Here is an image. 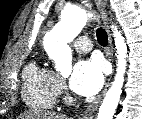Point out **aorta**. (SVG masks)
Masks as SVG:
<instances>
[{"label":"aorta","mask_w":142,"mask_h":119,"mask_svg":"<svg viewBox=\"0 0 142 119\" xmlns=\"http://www.w3.org/2000/svg\"><path fill=\"white\" fill-rule=\"evenodd\" d=\"M89 20V14L81 8H65L61 13V20L44 36L43 46L50 59L55 62V68L62 75H69L72 71V52L68 45L82 31ZM117 56V73L99 109L97 119H113L118 106L124 75L127 66V46L125 38L112 25Z\"/></svg>","instance_id":"762f6f07"}]
</instances>
